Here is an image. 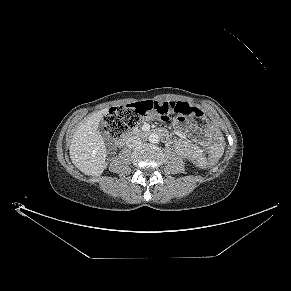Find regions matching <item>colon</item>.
Returning <instances> with one entry per match:
<instances>
[{"mask_svg":"<svg viewBox=\"0 0 291 291\" xmlns=\"http://www.w3.org/2000/svg\"><path fill=\"white\" fill-rule=\"evenodd\" d=\"M203 117V112L187 102L145 101L124 107L111 108L104 116V130L111 138H119L135 128L141 121L152 118L168 119L171 116ZM209 167L217 165L210 158Z\"/></svg>","mask_w":291,"mask_h":291,"instance_id":"5ec220e1","label":"colon"}]
</instances>
